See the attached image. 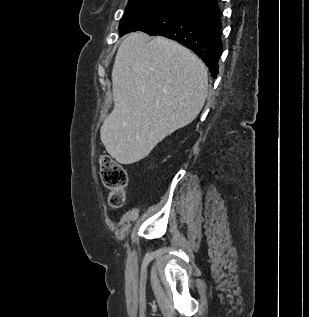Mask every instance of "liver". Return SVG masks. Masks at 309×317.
<instances>
[{"label": "liver", "instance_id": "1", "mask_svg": "<svg viewBox=\"0 0 309 317\" xmlns=\"http://www.w3.org/2000/svg\"><path fill=\"white\" fill-rule=\"evenodd\" d=\"M112 85L114 108L100 137L111 157L132 164L197 117L207 97L208 70L179 43L134 32L118 48Z\"/></svg>", "mask_w": 309, "mask_h": 317}]
</instances>
